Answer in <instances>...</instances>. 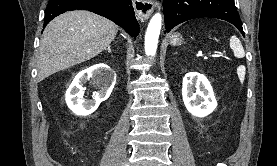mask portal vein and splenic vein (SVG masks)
I'll use <instances>...</instances> for the list:
<instances>
[{
  "mask_svg": "<svg viewBox=\"0 0 277 166\" xmlns=\"http://www.w3.org/2000/svg\"><path fill=\"white\" fill-rule=\"evenodd\" d=\"M220 56H221V55H208V56H204V58L207 59V58H209V57H210V58H211V57H212V58H215V57H220Z\"/></svg>",
  "mask_w": 277,
  "mask_h": 166,
  "instance_id": "18ae733b",
  "label": "portal vein and splenic vein"
}]
</instances>
